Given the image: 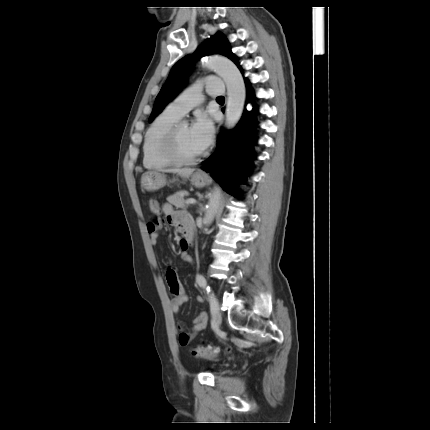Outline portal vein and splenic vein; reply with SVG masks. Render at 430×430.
<instances>
[{
  "label": "portal vein and splenic vein",
  "mask_w": 430,
  "mask_h": 430,
  "mask_svg": "<svg viewBox=\"0 0 430 430\" xmlns=\"http://www.w3.org/2000/svg\"><path fill=\"white\" fill-rule=\"evenodd\" d=\"M186 203H187V204H195V203H196V200H195V199H193V198H189V199H187V200H186Z\"/></svg>",
  "instance_id": "portal-vein-and-splenic-vein-1"
}]
</instances>
